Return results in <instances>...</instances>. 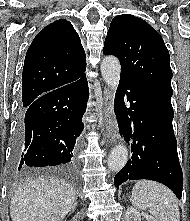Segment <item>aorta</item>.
<instances>
[{"label": "aorta", "instance_id": "762f6f07", "mask_svg": "<svg viewBox=\"0 0 190 221\" xmlns=\"http://www.w3.org/2000/svg\"><path fill=\"white\" fill-rule=\"evenodd\" d=\"M100 70L106 84L115 92L120 80L121 67L119 60L114 56L105 57L101 62ZM127 160V148L124 145H117L108 157V168L111 171L118 172L125 166Z\"/></svg>", "mask_w": 190, "mask_h": 221}]
</instances>
